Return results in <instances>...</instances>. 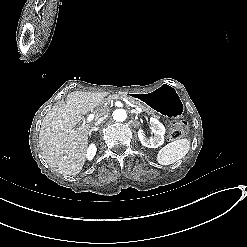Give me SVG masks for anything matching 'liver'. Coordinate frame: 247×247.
I'll return each instance as SVG.
<instances>
[{
  "instance_id": "1",
  "label": "liver",
  "mask_w": 247,
  "mask_h": 247,
  "mask_svg": "<svg viewBox=\"0 0 247 247\" xmlns=\"http://www.w3.org/2000/svg\"><path fill=\"white\" fill-rule=\"evenodd\" d=\"M105 92L74 91L65 102L47 112L41 123L39 146L52 171L64 177L76 176L86 161L90 124L76 125L82 116L101 105ZM99 115H96L97 121Z\"/></svg>"
}]
</instances>
